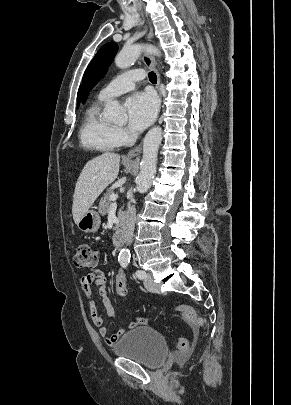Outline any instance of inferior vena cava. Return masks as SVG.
Instances as JSON below:
<instances>
[{"label":"inferior vena cava","mask_w":291,"mask_h":405,"mask_svg":"<svg viewBox=\"0 0 291 405\" xmlns=\"http://www.w3.org/2000/svg\"><path fill=\"white\" fill-rule=\"evenodd\" d=\"M136 209L134 205H128L126 219L123 225V236L126 244H130L135 227Z\"/></svg>","instance_id":"obj_1"}]
</instances>
